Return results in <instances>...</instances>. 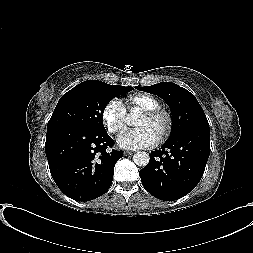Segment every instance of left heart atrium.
Returning <instances> with one entry per match:
<instances>
[{
  "label": "left heart atrium",
  "mask_w": 253,
  "mask_h": 253,
  "mask_svg": "<svg viewBox=\"0 0 253 253\" xmlns=\"http://www.w3.org/2000/svg\"><path fill=\"white\" fill-rule=\"evenodd\" d=\"M158 136L149 128H139L121 134L117 140L121 148L129 150L145 149L156 145Z\"/></svg>",
  "instance_id": "obj_1"
}]
</instances>
